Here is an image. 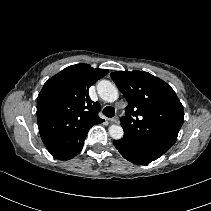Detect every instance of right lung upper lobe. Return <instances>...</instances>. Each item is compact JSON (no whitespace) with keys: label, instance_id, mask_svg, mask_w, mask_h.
<instances>
[{"label":"right lung upper lobe","instance_id":"right-lung-upper-lobe-1","mask_svg":"<svg viewBox=\"0 0 211 211\" xmlns=\"http://www.w3.org/2000/svg\"><path fill=\"white\" fill-rule=\"evenodd\" d=\"M108 73L88 64L69 66L44 84L37 98L38 128L48 151L59 160L71 159L89 129L104 120L88 89Z\"/></svg>","mask_w":211,"mask_h":211}]
</instances>
